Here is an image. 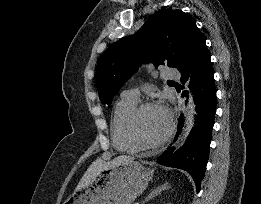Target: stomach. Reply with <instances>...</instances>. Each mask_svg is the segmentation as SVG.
Returning a JSON list of instances; mask_svg holds the SVG:
<instances>
[{"mask_svg":"<svg viewBox=\"0 0 261 204\" xmlns=\"http://www.w3.org/2000/svg\"><path fill=\"white\" fill-rule=\"evenodd\" d=\"M153 172L134 160L103 169L90 185L76 189L65 204H132L148 186Z\"/></svg>","mask_w":261,"mask_h":204,"instance_id":"stomach-1","label":"stomach"}]
</instances>
